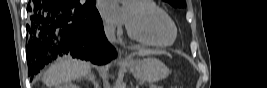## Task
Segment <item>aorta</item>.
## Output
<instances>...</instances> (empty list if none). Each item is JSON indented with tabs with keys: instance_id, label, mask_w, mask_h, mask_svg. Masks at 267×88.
Returning a JSON list of instances; mask_svg holds the SVG:
<instances>
[{
	"instance_id": "1",
	"label": "aorta",
	"mask_w": 267,
	"mask_h": 88,
	"mask_svg": "<svg viewBox=\"0 0 267 88\" xmlns=\"http://www.w3.org/2000/svg\"><path fill=\"white\" fill-rule=\"evenodd\" d=\"M122 3L126 2V0H121Z\"/></svg>"
}]
</instances>
